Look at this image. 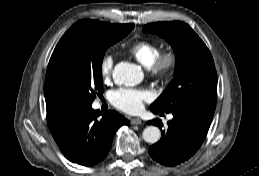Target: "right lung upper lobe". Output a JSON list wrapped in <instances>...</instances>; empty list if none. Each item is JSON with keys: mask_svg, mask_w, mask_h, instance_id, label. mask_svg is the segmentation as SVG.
Masks as SVG:
<instances>
[{"mask_svg": "<svg viewBox=\"0 0 259 176\" xmlns=\"http://www.w3.org/2000/svg\"><path fill=\"white\" fill-rule=\"evenodd\" d=\"M80 24H87L96 29H110L116 26H122L89 19L80 20L74 25ZM44 95L46 100L47 118L53 117L54 114L65 107L73 106L69 89L55 67L53 54L47 68Z\"/></svg>", "mask_w": 259, "mask_h": 176, "instance_id": "1", "label": "right lung upper lobe"}]
</instances>
